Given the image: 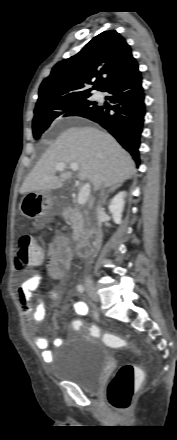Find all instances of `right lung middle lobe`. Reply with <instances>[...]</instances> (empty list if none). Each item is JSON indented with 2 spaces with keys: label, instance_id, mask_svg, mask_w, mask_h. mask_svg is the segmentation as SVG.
Returning a JSON list of instances; mask_svg holds the SVG:
<instances>
[{
  "label": "right lung middle lobe",
  "instance_id": "obj_1",
  "mask_svg": "<svg viewBox=\"0 0 177 440\" xmlns=\"http://www.w3.org/2000/svg\"><path fill=\"white\" fill-rule=\"evenodd\" d=\"M90 94L65 96L46 105L36 107L33 118V136L38 139L60 117L84 116L97 108L96 102L88 100Z\"/></svg>",
  "mask_w": 177,
  "mask_h": 440
}]
</instances>
